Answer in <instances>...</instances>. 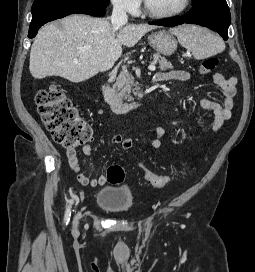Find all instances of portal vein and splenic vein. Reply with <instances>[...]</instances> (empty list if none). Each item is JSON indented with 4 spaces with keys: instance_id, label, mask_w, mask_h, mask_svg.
Returning a JSON list of instances; mask_svg holds the SVG:
<instances>
[{
    "instance_id": "portal-vein-and-splenic-vein-1",
    "label": "portal vein and splenic vein",
    "mask_w": 255,
    "mask_h": 272,
    "mask_svg": "<svg viewBox=\"0 0 255 272\" xmlns=\"http://www.w3.org/2000/svg\"><path fill=\"white\" fill-rule=\"evenodd\" d=\"M148 69H149L150 71H155V70H156V67H155L154 64H151V65L148 66Z\"/></svg>"
}]
</instances>
